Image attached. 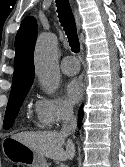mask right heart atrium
<instances>
[{
	"mask_svg": "<svg viewBox=\"0 0 125 167\" xmlns=\"http://www.w3.org/2000/svg\"><path fill=\"white\" fill-rule=\"evenodd\" d=\"M33 111L43 128H54L72 116V108L59 97L37 95Z\"/></svg>",
	"mask_w": 125,
	"mask_h": 167,
	"instance_id": "right-heart-atrium-1",
	"label": "right heart atrium"
}]
</instances>
